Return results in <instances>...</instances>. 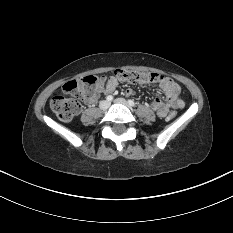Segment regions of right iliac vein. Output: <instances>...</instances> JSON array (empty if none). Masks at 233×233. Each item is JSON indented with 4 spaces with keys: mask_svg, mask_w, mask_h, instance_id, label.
<instances>
[{
    "mask_svg": "<svg viewBox=\"0 0 233 233\" xmlns=\"http://www.w3.org/2000/svg\"><path fill=\"white\" fill-rule=\"evenodd\" d=\"M99 106L102 110H107L110 106V102L109 101H101Z\"/></svg>",
    "mask_w": 233,
    "mask_h": 233,
    "instance_id": "right-iliac-vein-1",
    "label": "right iliac vein"
}]
</instances>
